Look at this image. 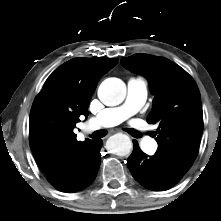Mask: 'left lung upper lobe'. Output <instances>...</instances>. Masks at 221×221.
Segmentation results:
<instances>
[{"label": "left lung upper lobe", "mask_w": 221, "mask_h": 221, "mask_svg": "<svg viewBox=\"0 0 221 221\" xmlns=\"http://www.w3.org/2000/svg\"><path fill=\"white\" fill-rule=\"evenodd\" d=\"M124 68L144 75L154 95L148 123L159 124L155 153L159 163L176 180L197 156L203 132L201 97L193 78L172 61L148 54L121 59Z\"/></svg>", "instance_id": "1"}]
</instances>
